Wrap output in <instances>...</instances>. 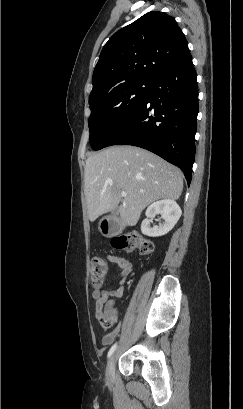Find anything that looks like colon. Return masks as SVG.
Returning <instances> with one entry per match:
<instances>
[{
  "mask_svg": "<svg viewBox=\"0 0 243 409\" xmlns=\"http://www.w3.org/2000/svg\"><path fill=\"white\" fill-rule=\"evenodd\" d=\"M111 246L116 250L128 252L137 248L141 254H150L153 250V243L137 234L115 236L111 239ZM106 273L107 266L102 259L95 258L91 261L89 279L96 295L104 283ZM117 317L115 311H100L99 313V318L105 329H110Z\"/></svg>",
  "mask_w": 243,
  "mask_h": 409,
  "instance_id": "colon-1",
  "label": "colon"
}]
</instances>
